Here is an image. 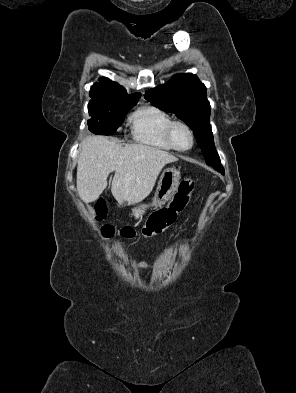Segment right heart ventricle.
Segmentation results:
<instances>
[{
    "mask_svg": "<svg viewBox=\"0 0 296 393\" xmlns=\"http://www.w3.org/2000/svg\"><path fill=\"white\" fill-rule=\"evenodd\" d=\"M131 120L132 136L137 142L162 150H174L166 135L173 119L165 110L143 106L132 114Z\"/></svg>",
    "mask_w": 296,
    "mask_h": 393,
    "instance_id": "obj_1",
    "label": "right heart ventricle"
}]
</instances>
